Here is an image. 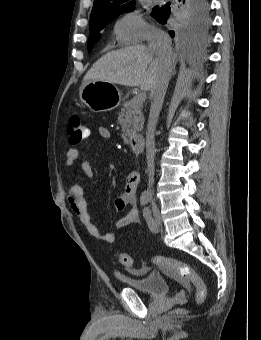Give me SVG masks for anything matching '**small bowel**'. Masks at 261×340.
Wrapping results in <instances>:
<instances>
[{"instance_id":"obj_1","label":"small bowel","mask_w":261,"mask_h":340,"mask_svg":"<svg viewBox=\"0 0 261 340\" xmlns=\"http://www.w3.org/2000/svg\"><path fill=\"white\" fill-rule=\"evenodd\" d=\"M99 135L104 139H110L111 133L108 128L101 126L98 128ZM91 130L85 126V138H88ZM81 158L80 152L76 148H70L66 152L65 164L72 167ZM81 170L86 177L92 179L94 177L93 168L88 160L81 161ZM139 183V174L137 171H131L125 181L123 192L116 198L115 206L122 211L128 208L126 216L117 220L114 224L116 229H122L127 226L139 222V211L137 208L136 189ZM67 201L73 213L77 216L80 223L85 227L86 231L94 238L106 242L113 243L115 234L113 232L102 233L92 221L88 212L87 202L84 197V191L81 185L73 184L67 193Z\"/></svg>"}]
</instances>
